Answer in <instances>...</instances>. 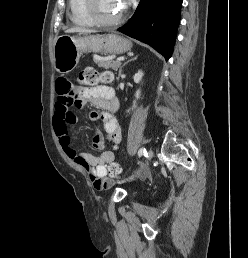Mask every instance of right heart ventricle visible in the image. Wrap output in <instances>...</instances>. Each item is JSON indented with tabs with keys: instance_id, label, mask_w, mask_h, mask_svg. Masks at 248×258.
I'll list each match as a JSON object with an SVG mask.
<instances>
[{
	"instance_id": "obj_1",
	"label": "right heart ventricle",
	"mask_w": 248,
	"mask_h": 258,
	"mask_svg": "<svg viewBox=\"0 0 248 258\" xmlns=\"http://www.w3.org/2000/svg\"><path fill=\"white\" fill-rule=\"evenodd\" d=\"M71 20L79 26H92L94 23L85 10V0H69Z\"/></svg>"
}]
</instances>
